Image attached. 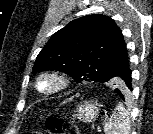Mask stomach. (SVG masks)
Instances as JSON below:
<instances>
[{
    "instance_id": "1",
    "label": "stomach",
    "mask_w": 153,
    "mask_h": 134,
    "mask_svg": "<svg viewBox=\"0 0 153 134\" xmlns=\"http://www.w3.org/2000/svg\"><path fill=\"white\" fill-rule=\"evenodd\" d=\"M99 116L98 107L95 104H82L75 111V117L84 123L95 121Z\"/></svg>"
}]
</instances>
